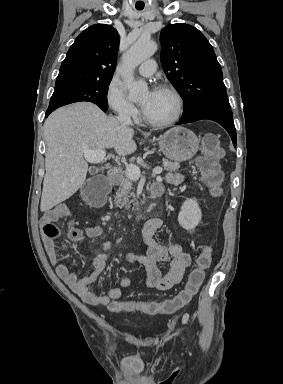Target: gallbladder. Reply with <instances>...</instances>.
Segmentation results:
<instances>
[{"label": "gallbladder", "instance_id": "gallbladder-1", "mask_svg": "<svg viewBox=\"0 0 283 384\" xmlns=\"http://www.w3.org/2000/svg\"><path fill=\"white\" fill-rule=\"evenodd\" d=\"M92 170H93L94 172H99V171L101 170V167H100L99 165H94V166L92 167Z\"/></svg>", "mask_w": 283, "mask_h": 384}]
</instances>
